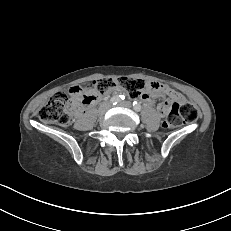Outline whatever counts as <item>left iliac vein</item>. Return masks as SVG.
<instances>
[{
	"instance_id": "4c4485c4",
	"label": "left iliac vein",
	"mask_w": 231,
	"mask_h": 231,
	"mask_svg": "<svg viewBox=\"0 0 231 231\" xmlns=\"http://www.w3.org/2000/svg\"><path fill=\"white\" fill-rule=\"evenodd\" d=\"M119 106L130 108V107H132V104L130 101H124V102L120 103Z\"/></svg>"
}]
</instances>
